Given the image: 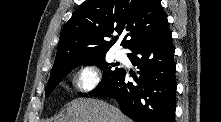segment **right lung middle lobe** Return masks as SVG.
<instances>
[{
	"instance_id": "right-lung-middle-lobe-1",
	"label": "right lung middle lobe",
	"mask_w": 221,
	"mask_h": 122,
	"mask_svg": "<svg viewBox=\"0 0 221 122\" xmlns=\"http://www.w3.org/2000/svg\"><path fill=\"white\" fill-rule=\"evenodd\" d=\"M82 62L77 63V64H73L71 66L66 67L65 69L60 70L59 72L53 74L50 76L49 81H48V85L46 88V92H45V96L47 97L55 88V86L57 85V83H59L64 77H66V75L72 70L73 67H76V65H81ZM84 64L86 65H97L99 66L101 69L104 70V78L102 80V82L98 85V87L96 89H94L93 91H91L89 94L93 95L103 89H105L106 87H108L109 83L121 72L122 68H112V66H110V64H108L105 61V56H100V57H96V58H92L90 60L84 61ZM80 96H87V94H79Z\"/></svg>"
}]
</instances>
